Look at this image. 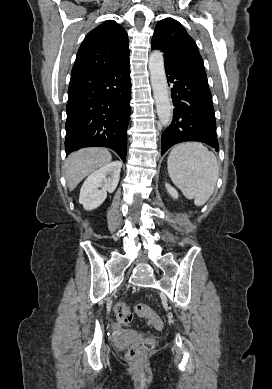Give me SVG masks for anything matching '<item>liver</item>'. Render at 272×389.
<instances>
[{
	"instance_id": "1",
	"label": "liver",
	"mask_w": 272,
	"mask_h": 389,
	"mask_svg": "<svg viewBox=\"0 0 272 389\" xmlns=\"http://www.w3.org/2000/svg\"><path fill=\"white\" fill-rule=\"evenodd\" d=\"M112 156L104 148H84L72 153L65 162V177L70 191L90 173L111 162Z\"/></svg>"
}]
</instances>
